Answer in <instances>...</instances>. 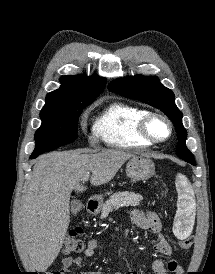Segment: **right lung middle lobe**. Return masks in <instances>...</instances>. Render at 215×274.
I'll list each match as a JSON object with an SVG mask.
<instances>
[{
    "label": "right lung middle lobe",
    "mask_w": 215,
    "mask_h": 274,
    "mask_svg": "<svg viewBox=\"0 0 215 274\" xmlns=\"http://www.w3.org/2000/svg\"><path fill=\"white\" fill-rule=\"evenodd\" d=\"M86 105L46 103L40 112L41 127L35 133L36 146L30 158L71 143L77 138V122Z\"/></svg>",
    "instance_id": "right-lung-middle-lobe-1"
}]
</instances>
